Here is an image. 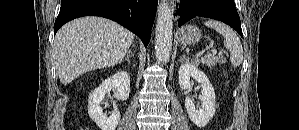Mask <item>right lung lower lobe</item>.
Listing matches in <instances>:
<instances>
[{"mask_svg":"<svg viewBox=\"0 0 299 130\" xmlns=\"http://www.w3.org/2000/svg\"><path fill=\"white\" fill-rule=\"evenodd\" d=\"M157 4L158 0H61L54 34L62 25L75 18L101 16L135 33L146 47L151 38Z\"/></svg>","mask_w":299,"mask_h":130,"instance_id":"98d812e1","label":"right lung lower lobe"}]
</instances>
